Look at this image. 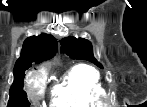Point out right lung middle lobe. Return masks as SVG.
Listing matches in <instances>:
<instances>
[{
	"instance_id": "1",
	"label": "right lung middle lobe",
	"mask_w": 147,
	"mask_h": 107,
	"mask_svg": "<svg viewBox=\"0 0 147 107\" xmlns=\"http://www.w3.org/2000/svg\"><path fill=\"white\" fill-rule=\"evenodd\" d=\"M31 65L23 67L18 74L14 75V83L10 88V99L8 107H29L26 92L23 90L24 72Z\"/></svg>"
}]
</instances>
